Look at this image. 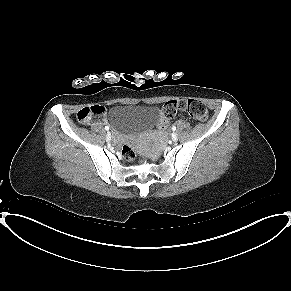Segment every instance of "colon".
Here are the masks:
<instances>
[{"label": "colon", "instance_id": "colon-1", "mask_svg": "<svg viewBox=\"0 0 291 291\" xmlns=\"http://www.w3.org/2000/svg\"><path fill=\"white\" fill-rule=\"evenodd\" d=\"M186 112L197 121H206L208 111L203 102L196 99H179L166 102L161 110V119L158 123L160 130L168 127L169 121L178 113ZM77 119L82 123H91L95 121H103L105 119V109L101 105H92L84 107L77 112ZM122 157L126 161H130L134 157L133 149L130 145L125 144L122 147Z\"/></svg>", "mask_w": 291, "mask_h": 291}]
</instances>
